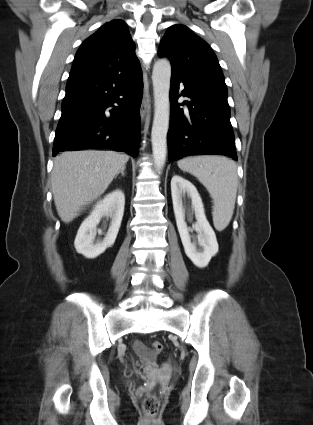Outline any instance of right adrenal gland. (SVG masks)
Listing matches in <instances>:
<instances>
[{
  "label": "right adrenal gland",
  "instance_id": "2a0ac1e0",
  "mask_svg": "<svg viewBox=\"0 0 313 425\" xmlns=\"http://www.w3.org/2000/svg\"><path fill=\"white\" fill-rule=\"evenodd\" d=\"M125 169H126V167L124 166V167H122V169L115 175V178H117V176L119 175V174H121V176H125Z\"/></svg>",
  "mask_w": 313,
  "mask_h": 425
}]
</instances>
